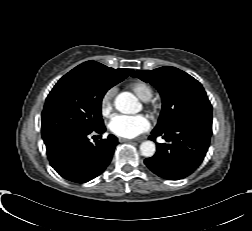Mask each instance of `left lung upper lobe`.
I'll return each instance as SVG.
<instances>
[{"label":"left lung upper lobe","instance_id":"obj_1","mask_svg":"<svg viewBox=\"0 0 252 231\" xmlns=\"http://www.w3.org/2000/svg\"><path fill=\"white\" fill-rule=\"evenodd\" d=\"M152 84L162 97V112L153 132H162L193 116L212 118V106L202 85L189 74L170 66L132 74Z\"/></svg>","mask_w":252,"mask_h":231}]
</instances>
